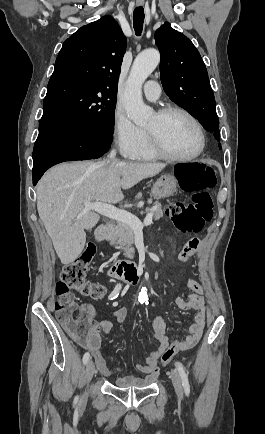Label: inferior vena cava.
Instances as JSON below:
<instances>
[{
	"label": "inferior vena cava",
	"mask_w": 265,
	"mask_h": 434,
	"mask_svg": "<svg viewBox=\"0 0 265 434\" xmlns=\"http://www.w3.org/2000/svg\"><path fill=\"white\" fill-rule=\"evenodd\" d=\"M115 156H116V150H112V152H110L108 156V160H105V162H103L104 166H108L110 162H116Z\"/></svg>",
	"instance_id": "obj_1"
}]
</instances>
